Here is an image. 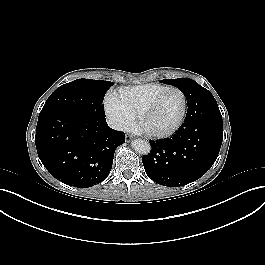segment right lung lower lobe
I'll return each mask as SVG.
<instances>
[{
	"label": "right lung lower lobe",
	"mask_w": 265,
	"mask_h": 265,
	"mask_svg": "<svg viewBox=\"0 0 265 265\" xmlns=\"http://www.w3.org/2000/svg\"><path fill=\"white\" fill-rule=\"evenodd\" d=\"M35 142L52 176L87 188L109 175L115 149L125 142V134L110 128L105 116L55 109L40 112Z\"/></svg>",
	"instance_id": "98d812e1"
}]
</instances>
